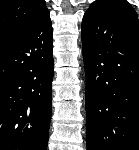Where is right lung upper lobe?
<instances>
[{"instance_id": "cb5924a9", "label": "right lung upper lobe", "mask_w": 139, "mask_h": 150, "mask_svg": "<svg viewBox=\"0 0 139 150\" xmlns=\"http://www.w3.org/2000/svg\"><path fill=\"white\" fill-rule=\"evenodd\" d=\"M47 13L45 0H0V40L31 28Z\"/></svg>"}]
</instances>
